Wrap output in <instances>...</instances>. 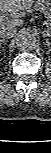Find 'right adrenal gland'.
I'll return each instance as SVG.
<instances>
[{
  "label": "right adrenal gland",
  "mask_w": 51,
  "mask_h": 153,
  "mask_svg": "<svg viewBox=\"0 0 51 153\" xmlns=\"http://www.w3.org/2000/svg\"><path fill=\"white\" fill-rule=\"evenodd\" d=\"M7 40H5V39H1L0 40V44H2V43H4V42H6Z\"/></svg>",
  "instance_id": "right-adrenal-gland-1"
}]
</instances>
